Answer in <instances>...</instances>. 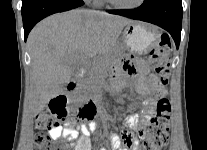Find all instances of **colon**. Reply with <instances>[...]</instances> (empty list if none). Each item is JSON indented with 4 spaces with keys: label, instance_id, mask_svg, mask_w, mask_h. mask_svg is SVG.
Instances as JSON below:
<instances>
[{
    "label": "colon",
    "instance_id": "5ec220e1",
    "mask_svg": "<svg viewBox=\"0 0 207 150\" xmlns=\"http://www.w3.org/2000/svg\"><path fill=\"white\" fill-rule=\"evenodd\" d=\"M171 52V42L167 35H162L157 46L150 52L154 70L160 78L162 84H167L170 75V64L167 59ZM49 108L41 111L35 119L36 130V150H70L67 145L59 143L49 135V132L61 125L68 117L65 105L68 100L58 97L49 100ZM93 111L80 110L78 116L82 119H91ZM171 105L165 98L158 100L155 113L151 119V126L148 131L140 133L139 138L143 140L138 150H161L169 142V122ZM125 134V146H132L131 140L134 135L130 132Z\"/></svg>",
    "mask_w": 207,
    "mask_h": 150
}]
</instances>
